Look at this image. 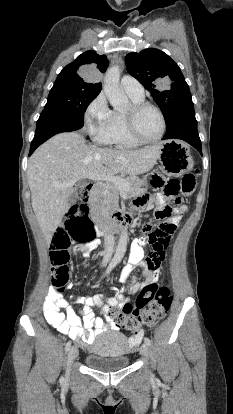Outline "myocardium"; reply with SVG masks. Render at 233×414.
Segmentation results:
<instances>
[{
    "label": "myocardium",
    "mask_w": 233,
    "mask_h": 414,
    "mask_svg": "<svg viewBox=\"0 0 233 414\" xmlns=\"http://www.w3.org/2000/svg\"><path fill=\"white\" fill-rule=\"evenodd\" d=\"M154 109L158 112L160 118H161V122H162V128H161V132L160 134L154 138V139H146L144 138L140 132L138 131L137 128V124H136V119L137 116L144 111L145 109ZM124 116V122H125V126L126 129L128 131V133L131 135V137L133 139H135L136 141L142 143V144H152V143H156L159 140L162 139V137L164 136L166 129H167V121H166V117L163 113V111L161 110L160 107H158L157 105L151 103V102H147V101H142L139 103H133L130 108L124 112L123 114Z\"/></svg>",
    "instance_id": "f54148a6"
}]
</instances>
